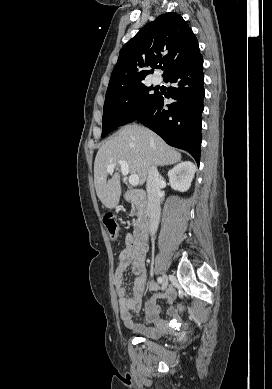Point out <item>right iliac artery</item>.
<instances>
[{
    "instance_id": "right-iliac-artery-1",
    "label": "right iliac artery",
    "mask_w": 272,
    "mask_h": 389,
    "mask_svg": "<svg viewBox=\"0 0 272 389\" xmlns=\"http://www.w3.org/2000/svg\"><path fill=\"white\" fill-rule=\"evenodd\" d=\"M157 281H158L159 284H161L162 283V278L158 277Z\"/></svg>"
}]
</instances>
